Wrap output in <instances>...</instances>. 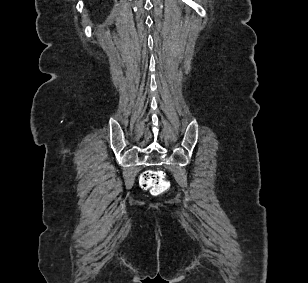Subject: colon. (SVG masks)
<instances>
[{"label": "colon", "mask_w": 308, "mask_h": 283, "mask_svg": "<svg viewBox=\"0 0 308 283\" xmlns=\"http://www.w3.org/2000/svg\"><path fill=\"white\" fill-rule=\"evenodd\" d=\"M140 186L154 195H161L169 188V182L161 170H146L140 176Z\"/></svg>", "instance_id": "5ec220e1"}]
</instances>
